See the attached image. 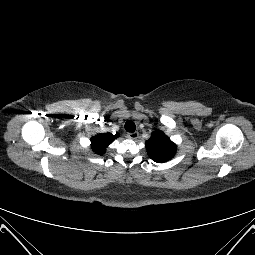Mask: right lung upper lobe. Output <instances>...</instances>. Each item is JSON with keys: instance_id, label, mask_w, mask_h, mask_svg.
<instances>
[{"instance_id": "1", "label": "right lung upper lobe", "mask_w": 255, "mask_h": 255, "mask_svg": "<svg viewBox=\"0 0 255 255\" xmlns=\"http://www.w3.org/2000/svg\"><path fill=\"white\" fill-rule=\"evenodd\" d=\"M118 137V134L111 133L98 134L91 138V149L97 154H104L108 145Z\"/></svg>"}]
</instances>
